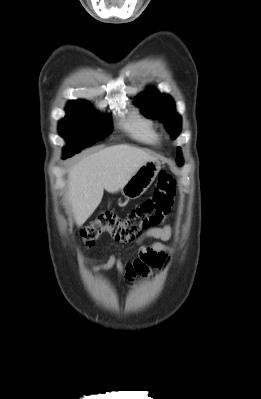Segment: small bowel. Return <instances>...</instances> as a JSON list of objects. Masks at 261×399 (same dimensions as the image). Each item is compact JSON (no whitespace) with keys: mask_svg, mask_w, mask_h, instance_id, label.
Here are the masks:
<instances>
[{"mask_svg":"<svg viewBox=\"0 0 261 399\" xmlns=\"http://www.w3.org/2000/svg\"><path fill=\"white\" fill-rule=\"evenodd\" d=\"M172 226L165 224L147 230L138 240L139 248L135 258L123 263L115 255H111L104 263L97 265L94 270H108L116 267L127 285H132L136 276L152 274L153 268H164L168 263V256L172 249L164 242L173 237ZM146 239H155L157 242L142 244Z\"/></svg>","mask_w":261,"mask_h":399,"instance_id":"obj_1","label":"small bowel"}]
</instances>
